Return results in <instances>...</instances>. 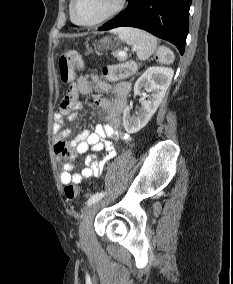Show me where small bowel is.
<instances>
[{"label": "small bowel", "mask_w": 233, "mask_h": 284, "mask_svg": "<svg viewBox=\"0 0 233 284\" xmlns=\"http://www.w3.org/2000/svg\"><path fill=\"white\" fill-rule=\"evenodd\" d=\"M96 83L104 91H110L112 98L97 97L94 103L100 107L106 115L105 122L95 127L93 131L85 129L68 141L70 129L64 128L65 119L78 118L82 104L79 101L80 94L92 92V84ZM130 90L129 83L121 82L111 87L100 81L95 75L81 76L70 86L63 98L58 111L55 114L53 134L55 140V154L61 161L60 180L63 185L79 184L83 180H91L98 177L106 164L116 156L113 141H129L130 136L121 128V115L126 106V97ZM89 150L93 152L106 151L104 159L97 161L93 154L87 158V166L80 172L74 173L73 162L78 155L85 154Z\"/></svg>", "instance_id": "1"}]
</instances>
